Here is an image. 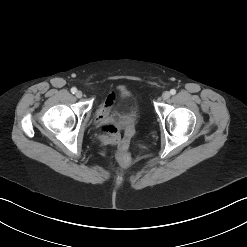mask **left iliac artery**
<instances>
[{
  "label": "left iliac artery",
  "instance_id": "1",
  "mask_svg": "<svg viewBox=\"0 0 247 247\" xmlns=\"http://www.w3.org/2000/svg\"><path fill=\"white\" fill-rule=\"evenodd\" d=\"M170 93H171V95H174V94H176V90L175 89H171Z\"/></svg>",
  "mask_w": 247,
  "mask_h": 247
}]
</instances>
